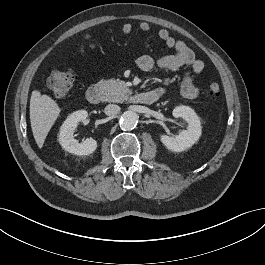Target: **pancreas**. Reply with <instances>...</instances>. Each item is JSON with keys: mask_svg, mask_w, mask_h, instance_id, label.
<instances>
[{"mask_svg": "<svg viewBox=\"0 0 265 265\" xmlns=\"http://www.w3.org/2000/svg\"><path fill=\"white\" fill-rule=\"evenodd\" d=\"M103 92V101L122 103L129 97V89L125 82L115 79L100 80L98 83Z\"/></svg>", "mask_w": 265, "mask_h": 265, "instance_id": "obj_1", "label": "pancreas"}]
</instances>
